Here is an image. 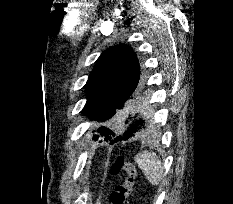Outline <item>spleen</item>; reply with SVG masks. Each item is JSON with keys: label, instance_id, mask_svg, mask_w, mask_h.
<instances>
[{"label": "spleen", "instance_id": "obj_1", "mask_svg": "<svg viewBox=\"0 0 233 204\" xmlns=\"http://www.w3.org/2000/svg\"><path fill=\"white\" fill-rule=\"evenodd\" d=\"M135 161L152 185H159L164 178V167L154 152L143 151L136 155Z\"/></svg>", "mask_w": 233, "mask_h": 204}]
</instances>
